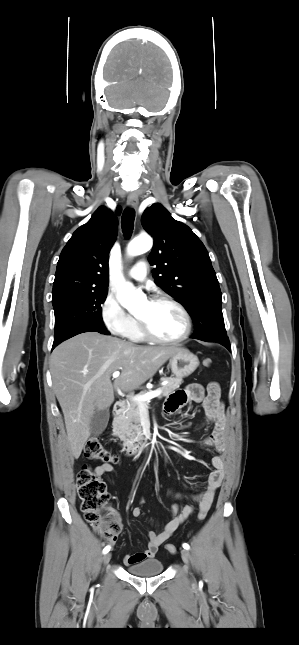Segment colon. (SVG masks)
Listing matches in <instances>:
<instances>
[{"label": "colon", "mask_w": 299, "mask_h": 645, "mask_svg": "<svg viewBox=\"0 0 299 645\" xmlns=\"http://www.w3.org/2000/svg\"><path fill=\"white\" fill-rule=\"evenodd\" d=\"M205 367L212 365L210 358L203 360ZM84 455L90 460L100 461L102 463L115 464L118 457L107 451L99 438H90L85 446ZM78 495L81 499V510L84 518L96 529L107 542H113L121 530V524L115 520L109 507V493L106 485L88 466L82 467L77 474ZM207 512L200 510L198 520L203 521ZM166 550L175 554L177 548L173 544H168Z\"/></svg>", "instance_id": "colon-1"}]
</instances>
